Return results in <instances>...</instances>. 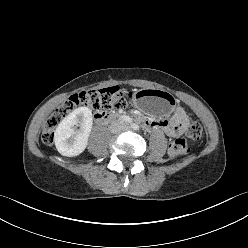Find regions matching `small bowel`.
Segmentation results:
<instances>
[{
    "label": "small bowel",
    "instance_id": "small-bowel-1",
    "mask_svg": "<svg viewBox=\"0 0 248 248\" xmlns=\"http://www.w3.org/2000/svg\"><path fill=\"white\" fill-rule=\"evenodd\" d=\"M188 121L186 112L182 108H177L172 119H143L142 124L147 129H162L168 137L175 138L183 133Z\"/></svg>",
    "mask_w": 248,
    "mask_h": 248
}]
</instances>
